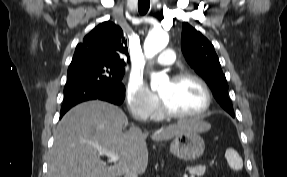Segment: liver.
<instances>
[{
	"mask_svg": "<svg viewBox=\"0 0 287 177\" xmlns=\"http://www.w3.org/2000/svg\"><path fill=\"white\" fill-rule=\"evenodd\" d=\"M125 113L102 101L79 104L67 112L54 131L47 177H120L132 166L143 174L148 165L146 138L138 127L127 132ZM211 125L199 120L179 121L155 131L151 138L164 141L188 130L208 131ZM98 148L119 156L114 165L101 160Z\"/></svg>",
	"mask_w": 287,
	"mask_h": 177,
	"instance_id": "1",
	"label": "liver"
}]
</instances>
